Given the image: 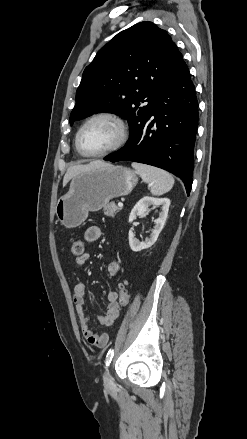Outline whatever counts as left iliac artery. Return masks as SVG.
<instances>
[{"mask_svg": "<svg viewBox=\"0 0 247 439\" xmlns=\"http://www.w3.org/2000/svg\"><path fill=\"white\" fill-rule=\"evenodd\" d=\"M113 356H114V350L110 349L107 353L106 360H105L106 367H108L110 365Z\"/></svg>", "mask_w": 247, "mask_h": 439, "instance_id": "1", "label": "left iliac artery"}]
</instances>
